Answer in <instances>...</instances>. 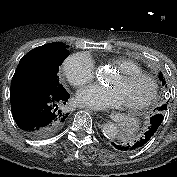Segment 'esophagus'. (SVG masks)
I'll return each instance as SVG.
<instances>
[{
    "instance_id": "esophagus-1",
    "label": "esophagus",
    "mask_w": 177,
    "mask_h": 177,
    "mask_svg": "<svg viewBox=\"0 0 177 177\" xmlns=\"http://www.w3.org/2000/svg\"><path fill=\"white\" fill-rule=\"evenodd\" d=\"M103 116H104L105 118H108V117L110 116V113H109L108 111H105V112L103 113Z\"/></svg>"
}]
</instances>
